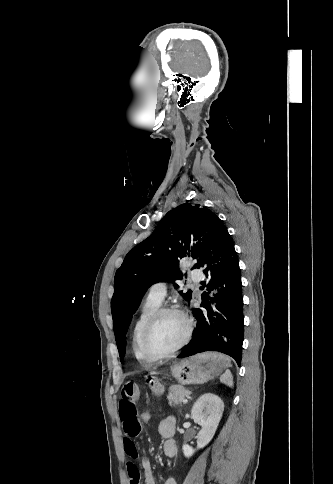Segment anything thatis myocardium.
I'll use <instances>...</instances> for the list:
<instances>
[{"label":"myocardium","mask_w":333,"mask_h":484,"mask_svg":"<svg viewBox=\"0 0 333 484\" xmlns=\"http://www.w3.org/2000/svg\"><path fill=\"white\" fill-rule=\"evenodd\" d=\"M166 314H177L181 316L186 324V333L182 341L173 350H171L168 353L158 355V354H154L150 350L149 338L156 323L160 320L161 317H163ZM193 328L194 327H193V322L191 318L182 309L173 307V306L160 307L152 314V316L149 318V320L147 321L143 329L142 338H141L142 351L144 355L153 362L169 359L175 356L180 350H182L189 343L193 334Z\"/></svg>","instance_id":"1"}]
</instances>
